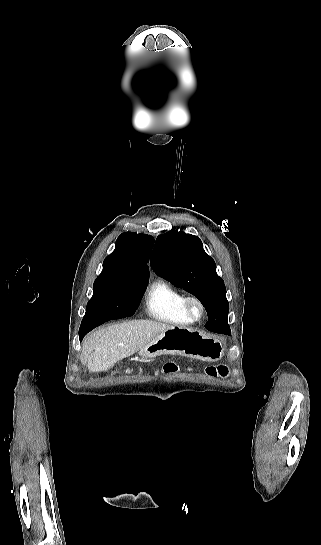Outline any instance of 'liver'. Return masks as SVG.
Masks as SVG:
<instances>
[{"mask_svg":"<svg viewBox=\"0 0 321 545\" xmlns=\"http://www.w3.org/2000/svg\"><path fill=\"white\" fill-rule=\"evenodd\" d=\"M174 329L157 321H128L91 333L82 345L80 361L92 373L107 371L115 363L143 349L160 333ZM94 351V353H93Z\"/></svg>","mask_w":321,"mask_h":545,"instance_id":"obj_1","label":"liver"}]
</instances>
